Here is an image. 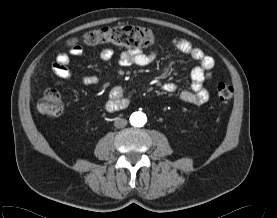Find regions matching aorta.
<instances>
[{"label":"aorta","instance_id":"obj_1","mask_svg":"<svg viewBox=\"0 0 277 218\" xmlns=\"http://www.w3.org/2000/svg\"><path fill=\"white\" fill-rule=\"evenodd\" d=\"M146 121V115L142 112H134L130 116V123L136 127H142Z\"/></svg>","mask_w":277,"mask_h":218}]
</instances>
